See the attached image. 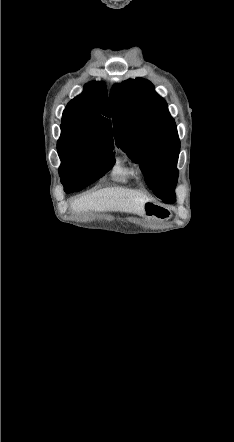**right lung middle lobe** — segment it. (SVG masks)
I'll return each mask as SVG.
<instances>
[{
  "label": "right lung middle lobe",
  "mask_w": 234,
  "mask_h": 442,
  "mask_svg": "<svg viewBox=\"0 0 234 442\" xmlns=\"http://www.w3.org/2000/svg\"><path fill=\"white\" fill-rule=\"evenodd\" d=\"M57 149L61 159V183L69 192L80 191L90 185L115 163L112 145L85 142L63 126Z\"/></svg>",
  "instance_id": "right-lung-middle-lobe-1"
}]
</instances>
